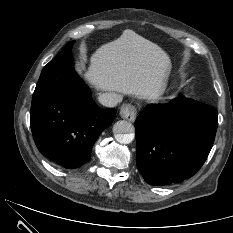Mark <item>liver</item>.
<instances>
[{
	"label": "liver",
	"instance_id": "obj_1",
	"mask_svg": "<svg viewBox=\"0 0 233 233\" xmlns=\"http://www.w3.org/2000/svg\"><path fill=\"white\" fill-rule=\"evenodd\" d=\"M171 70L167 53L132 30L102 45L90 58L84 78L96 89L157 100Z\"/></svg>",
	"mask_w": 233,
	"mask_h": 233
}]
</instances>
